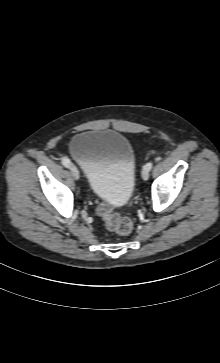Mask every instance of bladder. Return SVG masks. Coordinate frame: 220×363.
Listing matches in <instances>:
<instances>
[{
  "label": "bladder",
  "mask_w": 220,
  "mask_h": 363,
  "mask_svg": "<svg viewBox=\"0 0 220 363\" xmlns=\"http://www.w3.org/2000/svg\"><path fill=\"white\" fill-rule=\"evenodd\" d=\"M70 155L84 169L91 191L110 206H122L130 199L136 172V155L121 133L86 130L70 141Z\"/></svg>",
  "instance_id": "31cf9c89"
}]
</instances>
